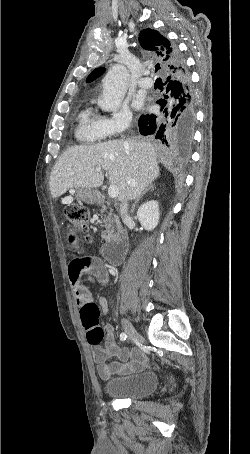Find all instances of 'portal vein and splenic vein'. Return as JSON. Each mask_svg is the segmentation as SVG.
<instances>
[{
  "instance_id": "portal-vein-and-splenic-vein-1",
  "label": "portal vein and splenic vein",
  "mask_w": 250,
  "mask_h": 454,
  "mask_svg": "<svg viewBox=\"0 0 250 454\" xmlns=\"http://www.w3.org/2000/svg\"><path fill=\"white\" fill-rule=\"evenodd\" d=\"M97 172H101V169H97L96 170ZM118 188L114 185H110L109 189H108V195L110 198H117L118 197Z\"/></svg>"
}]
</instances>
